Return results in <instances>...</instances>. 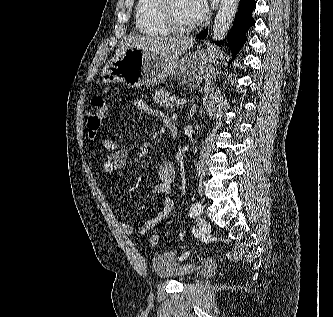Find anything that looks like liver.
Wrapping results in <instances>:
<instances>
[{"instance_id":"obj_1","label":"liver","mask_w":333,"mask_h":317,"mask_svg":"<svg viewBox=\"0 0 333 317\" xmlns=\"http://www.w3.org/2000/svg\"><path fill=\"white\" fill-rule=\"evenodd\" d=\"M194 38H166L138 34L128 35L120 43L116 55H121L128 47L137 46L144 51H153L163 57L179 59L194 44Z\"/></svg>"}]
</instances>
